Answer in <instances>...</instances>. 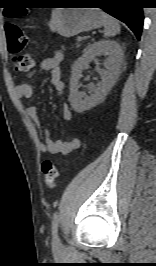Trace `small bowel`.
I'll return each instance as SVG.
<instances>
[{"mask_svg": "<svg viewBox=\"0 0 156 266\" xmlns=\"http://www.w3.org/2000/svg\"><path fill=\"white\" fill-rule=\"evenodd\" d=\"M61 63L62 55L56 53L53 57L43 60L39 66V70L51 73V85L59 95H62L65 89L61 76ZM36 72V70L30 71L27 77H33ZM16 95L19 99L29 100L33 96V89L28 83L19 84L16 87ZM26 111L28 117L42 130L43 141L40 142L39 148L43 153L68 155L79 149L81 142L78 138L53 139L49 130L42 125L37 107L29 106ZM62 117L66 121L72 119V111L67 104L62 106Z\"/></svg>", "mask_w": 156, "mask_h": 266, "instance_id": "obj_1", "label": "small bowel"}]
</instances>
